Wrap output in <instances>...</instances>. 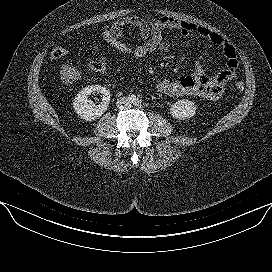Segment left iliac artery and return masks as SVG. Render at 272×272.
I'll list each match as a JSON object with an SVG mask.
<instances>
[{
	"instance_id": "obj_1",
	"label": "left iliac artery",
	"mask_w": 272,
	"mask_h": 272,
	"mask_svg": "<svg viewBox=\"0 0 272 272\" xmlns=\"http://www.w3.org/2000/svg\"><path fill=\"white\" fill-rule=\"evenodd\" d=\"M134 104H135L136 106L141 105V99H138V98H137V99L135 100Z\"/></svg>"
}]
</instances>
